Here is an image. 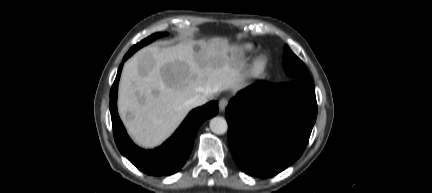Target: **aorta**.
I'll return each instance as SVG.
<instances>
[{
    "label": "aorta",
    "mask_w": 432,
    "mask_h": 193,
    "mask_svg": "<svg viewBox=\"0 0 432 193\" xmlns=\"http://www.w3.org/2000/svg\"><path fill=\"white\" fill-rule=\"evenodd\" d=\"M209 127L213 133L221 135L227 132L228 124L225 118L216 116L210 120Z\"/></svg>",
    "instance_id": "aorta-1"
}]
</instances>
